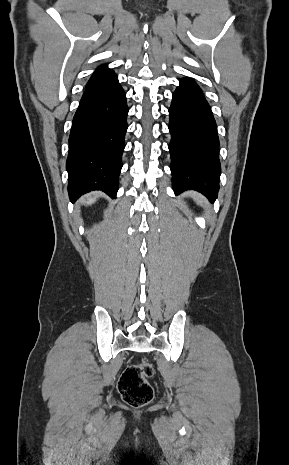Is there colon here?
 Returning <instances> with one entry per match:
<instances>
[{
  "mask_svg": "<svg viewBox=\"0 0 289 465\" xmlns=\"http://www.w3.org/2000/svg\"><path fill=\"white\" fill-rule=\"evenodd\" d=\"M154 374L148 362L128 366L118 382V391L123 400L132 407H142L153 398V389L148 379Z\"/></svg>",
  "mask_w": 289,
  "mask_h": 465,
  "instance_id": "5ec220e1",
  "label": "colon"
}]
</instances>
